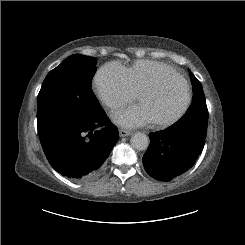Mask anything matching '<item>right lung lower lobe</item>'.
<instances>
[{"label":"right lung lower lobe","instance_id":"obj_1","mask_svg":"<svg viewBox=\"0 0 245 245\" xmlns=\"http://www.w3.org/2000/svg\"><path fill=\"white\" fill-rule=\"evenodd\" d=\"M39 137L55 170L75 181H87L101 172L119 133L101 110L91 118L57 125Z\"/></svg>","mask_w":245,"mask_h":245}]
</instances>
